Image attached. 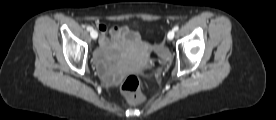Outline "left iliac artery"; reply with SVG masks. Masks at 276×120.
<instances>
[{"label": "left iliac artery", "instance_id": "left-iliac-artery-1", "mask_svg": "<svg viewBox=\"0 0 276 120\" xmlns=\"http://www.w3.org/2000/svg\"><path fill=\"white\" fill-rule=\"evenodd\" d=\"M178 29H179L178 26H175V27L173 28L174 31H178Z\"/></svg>", "mask_w": 276, "mask_h": 120}]
</instances>
